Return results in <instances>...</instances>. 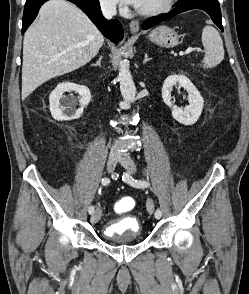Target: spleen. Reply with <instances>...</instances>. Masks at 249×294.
I'll return each mask as SVG.
<instances>
[{
  "instance_id": "obj_1",
  "label": "spleen",
  "mask_w": 249,
  "mask_h": 294,
  "mask_svg": "<svg viewBox=\"0 0 249 294\" xmlns=\"http://www.w3.org/2000/svg\"><path fill=\"white\" fill-rule=\"evenodd\" d=\"M202 44L205 49V55L202 60L204 68H213L223 61V41L214 27L205 26L202 32Z\"/></svg>"
}]
</instances>
